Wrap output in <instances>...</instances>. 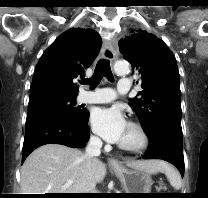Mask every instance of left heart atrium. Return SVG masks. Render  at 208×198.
Listing matches in <instances>:
<instances>
[{"mask_svg":"<svg viewBox=\"0 0 208 198\" xmlns=\"http://www.w3.org/2000/svg\"><path fill=\"white\" fill-rule=\"evenodd\" d=\"M90 122L93 130L111 143L119 142L128 126L122 110L117 106L94 109Z\"/></svg>","mask_w":208,"mask_h":198,"instance_id":"39dd6f15","label":"left heart atrium"}]
</instances>
